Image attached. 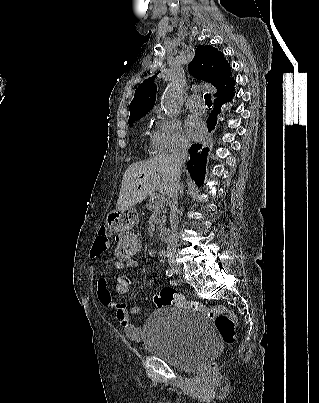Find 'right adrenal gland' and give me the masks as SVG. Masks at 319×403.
Returning a JSON list of instances; mask_svg holds the SVG:
<instances>
[{"label": "right adrenal gland", "mask_w": 319, "mask_h": 403, "mask_svg": "<svg viewBox=\"0 0 319 403\" xmlns=\"http://www.w3.org/2000/svg\"><path fill=\"white\" fill-rule=\"evenodd\" d=\"M183 192H184V186L182 184L181 187H180V194L183 195Z\"/></svg>", "instance_id": "right-adrenal-gland-1"}]
</instances>
